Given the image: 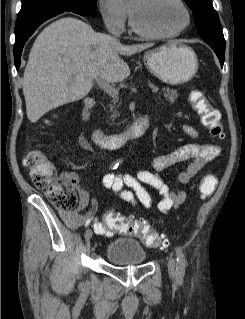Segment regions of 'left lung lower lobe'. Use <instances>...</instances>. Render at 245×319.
<instances>
[{
  "mask_svg": "<svg viewBox=\"0 0 245 319\" xmlns=\"http://www.w3.org/2000/svg\"><path fill=\"white\" fill-rule=\"evenodd\" d=\"M210 47L214 50V52L218 56L221 66H223V63H224V52L225 51H223V50H221V49H219L217 47H212V46H210Z\"/></svg>",
  "mask_w": 245,
  "mask_h": 319,
  "instance_id": "obj_1",
  "label": "left lung lower lobe"
}]
</instances>
